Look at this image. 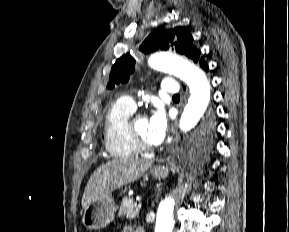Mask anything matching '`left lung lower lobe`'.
<instances>
[{
    "label": "left lung lower lobe",
    "instance_id": "0a47b994",
    "mask_svg": "<svg viewBox=\"0 0 289 232\" xmlns=\"http://www.w3.org/2000/svg\"><path fill=\"white\" fill-rule=\"evenodd\" d=\"M199 65H200V67H201L204 71H206V72L209 71V67H208L207 63L204 61L203 58H201V59L199 60Z\"/></svg>",
    "mask_w": 289,
    "mask_h": 232
}]
</instances>
